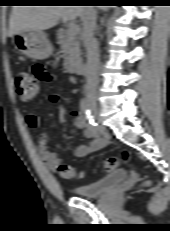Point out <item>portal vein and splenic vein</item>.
<instances>
[{
  "mask_svg": "<svg viewBox=\"0 0 170 231\" xmlns=\"http://www.w3.org/2000/svg\"><path fill=\"white\" fill-rule=\"evenodd\" d=\"M68 30L72 35H75L79 32V27L75 23H70L68 26Z\"/></svg>",
  "mask_w": 170,
  "mask_h": 231,
  "instance_id": "1",
  "label": "portal vein and splenic vein"
}]
</instances>
